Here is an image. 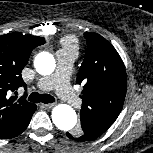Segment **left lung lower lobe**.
I'll return each mask as SVG.
<instances>
[{
	"instance_id": "1",
	"label": "left lung lower lobe",
	"mask_w": 153,
	"mask_h": 153,
	"mask_svg": "<svg viewBox=\"0 0 153 153\" xmlns=\"http://www.w3.org/2000/svg\"><path fill=\"white\" fill-rule=\"evenodd\" d=\"M66 134L70 139H73V140H78V141H82V142L93 140L92 138H89V137H87L85 135H77V136H75V135H72V134H70L68 132Z\"/></svg>"
}]
</instances>
